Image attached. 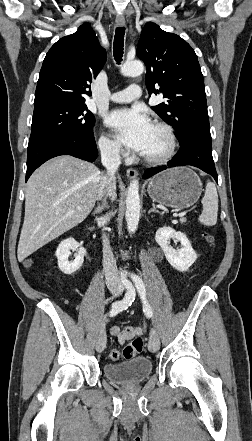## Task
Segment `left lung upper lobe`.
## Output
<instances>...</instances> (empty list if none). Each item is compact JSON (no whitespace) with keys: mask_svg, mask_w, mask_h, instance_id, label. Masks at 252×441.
Segmentation results:
<instances>
[{"mask_svg":"<svg viewBox=\"0 0 252 441\" xmlns=\"http://www.w3.org/2000/svg\"><path fill=\"white\" fill-rule=\"evenodd\" d=\"M136 53L147 67L149 94L162 93L166 99L152 109L173 126L179 142L193 132L210 133L203 75L190 45L148 22Z\"/></svg>","mask_w":252,"mask_h":441,"instance_id":"obj_1","label":"left lung upper lobe"}]
</instances>
